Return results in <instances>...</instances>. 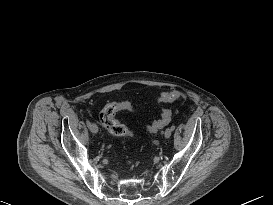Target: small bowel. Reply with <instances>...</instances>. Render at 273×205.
Returning <instances> with one entry per match:
<instances>
[{
    "label": "small bowel",
    "instance_id": "small-bowel-1",
    "mask_svg": "<svg viewBox=\"0 0 273 205\" xmlns=\"http://www.w3.org/2000/svg\"><path fill=\"white\" fill-rule=\"evenodd\" d=\"M115 103H123V104H125L126 108H124L123 110L131 111L130 107H133L129 102H115Z\"/></svg>",
    "mask_w": 273,
    "mask_h": 205
}]
</instances>
